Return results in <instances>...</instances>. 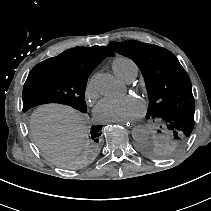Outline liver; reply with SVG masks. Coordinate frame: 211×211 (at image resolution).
<instances>
[{
  "label": "liver",
  "mask_w": 211,
  "mask_h": 211,
  "mask_svg": "<svg viewBox=\"0 0 211 211\" xmlns=\"http://www.w3.org/2000/svg\"><path fill=\"white\" fill-rule=\"evenodd\" d=\"M30 126L36 145L57 159L67 161L84 143L82 115L70 107L41 106L32 115Z\"/></svg>",
  "instance_id": "1"
}]
</instances>
